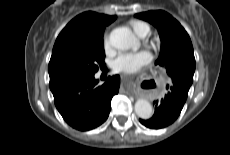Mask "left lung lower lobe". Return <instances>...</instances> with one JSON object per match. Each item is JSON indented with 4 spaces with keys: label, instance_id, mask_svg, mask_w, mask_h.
<instances>
[{
    "label": "left lung lower lobe",
    "instance_id": "left-lung-lower-lobe-1",
    "mask_svg": "<svg viewBox=\"0 0 230 155\" xmlns=\"http://www.w3.org/2000/svg\"><path fill=\"white\" fill-rule=\"evenodd\" d=\"M191 84L180 80L172 79V83L167 85L168 93L156 104L155 113L149 120L140 122L148 128L160 129L172 124L180 115V112L187 99Z\"/></svg>",
    "mask_w": 230,
    "mask_h": 155
}]
</instances>
